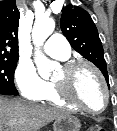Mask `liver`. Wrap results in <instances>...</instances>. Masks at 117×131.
Instances as JSON below:
<instances>
[{"instance_id": "6515ba94", "label": "liver", "mask_w": 117, "mask_h": 131, "mask_svg": "<svg viewBox=\"0 0 117 131\" xmlns=\"http://www.w3.org/2000/svg\"><path fill=\"white\" fill-rule=\"evenodd\" d=\"M64 115L68 113L58 108L0 96V131H38Z\"/></svg>"}]
</instances>
